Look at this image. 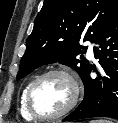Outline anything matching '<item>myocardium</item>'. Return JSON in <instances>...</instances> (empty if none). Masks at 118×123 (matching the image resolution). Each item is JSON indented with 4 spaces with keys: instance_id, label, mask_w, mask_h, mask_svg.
I'll return each instance as SVG.
<instances>
[{
    "instance_id": "obj_1",
    "label": "myocardium",
    "mask_w": 118,
    "mask_h": 123,
    "mask_svg": "<svg viewBox=\"0 0 118 123\" xmlns=\"http://www.w3.org/2000/svg\"><path fill=\"white\" fill-rule=\"evenodd\" d=\"M53 75L64 76L69 81V83L71 84V87H72V96H71V99H70L69 103L67 104V106L63 110H61L59 113L54 114V115L45 116V115L39 114L35 110L34 105H33V95H34L36 87L43 80H45L46 78L53 76ZM80 93H81L80 82H79L77 75L74 72H72L71 70L65 69V68L51 69V70H48V71L44 72L43 74L39 75L30 84V86L27 90V94H26V107H27L29 114L36 120H39V121L57 120V119L64 117L76 106V104L79 100V97H80Z\"/></svg>"
}]
</instances>
